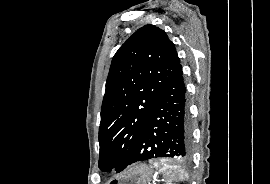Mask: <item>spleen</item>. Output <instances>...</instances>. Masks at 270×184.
Segmentation results:
<instances>
[{
    "label": "spleen",
    "instance_id": "3e777b00",
    "mask_svg": "<svg viewBox=\"0 0 270 184\" xmlns=\"http://www.w3.org/2000/svg\"><path fill=\"white\" fill-rule=\"evenodd\" d=\"M154 167L159 168V171L163 173L165 179L168 181H172L173 179H176L177 177H181L180 170L178 169L177 166L171 165L168 163H154ZM171 184V183H167Z\"/></svg>",
    "mask_w": 270,
    "mask_h": 184
}]
</instances>
